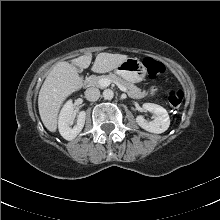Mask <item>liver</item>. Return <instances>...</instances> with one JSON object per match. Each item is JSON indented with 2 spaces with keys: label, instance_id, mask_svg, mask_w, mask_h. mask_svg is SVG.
<instances>
[{
  "label": "liver",
  "instance_id": "6515ba94",
  "mask_svg": "<svg viewBox=\"0 0 220 220\" xmlns=\"http://www.w3.org/2000/svg\"><path fill=\"white\" fill-rule=\"evenodd\" d=\"M128 58L123 54L102 52L96 56L91 68L96 73H106L116 69ZM92 55L87 54L68 62H58L46 77L38 96V109L44 126L50 131L57 129L59 110L65 99L75 92L80 85L77 67L86 69L90 66Z\"/></svg>",
  "mask_w": 220,
  "mask_h": 220
}]
</instances>
